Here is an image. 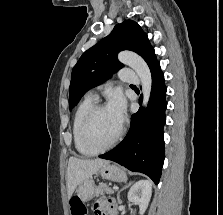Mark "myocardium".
<instances>
[{"label": "myocardium", "instance_id": "f54148a6", "mask_svg": "<svg viewBox=\"0 0 223 215\" xmlns=\"http://www.w3.org/2000/svg\"><path fill=\"white\" fill-rule=\"evenodd\" d=\"M106 108L107 107L103 104H95L91 108V110L88 112V114L84 120L83 126H82L83 142L89 149L92 150V152L94 154H100L107 150L113 149L118 144V142L121 140L122 135H123V127H122V125H120L117 135L108 145H106L104 147H98L94 143V141L92 139V135H91L94 119L99 111H101L102 109H106Z\"/></svg>", "mask_w": 223, "mask_h": 215}]
</instances>
